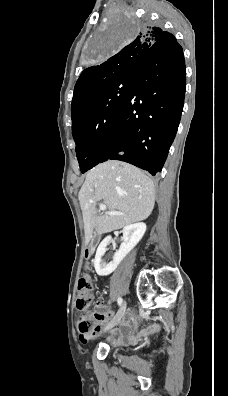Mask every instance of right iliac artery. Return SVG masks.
I'll list each match as a JSON object with an SVG mask.
<instances>
[{"label":"right iliac artery","instance_id":"1","mask_svg":"<svg viewBox=\"0 0 228 396\" xmlns=\"http://www.w3.org/2000/svg\"><path fill=\"white\" fill-rule=\"evenodd\" d=\"M117 302H118V305L121 306V305H122V298L119 297L118 300H117Z\"/></svg>","mask_w":228,"mask_h":396}]
</instances>
